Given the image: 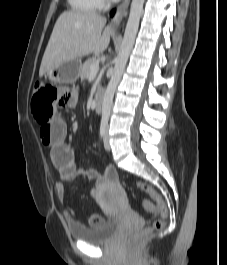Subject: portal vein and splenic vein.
Here are the masks:
<instances>
[{
	"instance_id": "1",
	"label": "portal vein and splenic vein",
	"mask_w": 227,
	"mask_h": 265,
	"mask_svg": "<svg viewBox=\"0 0 227 265\" xmlns=\"http://www.w3.org/2000/svg\"><path fill=\"white\" fill-rule=\"evenodd\" d=\"M99 71V63L92 65L90 68V76H95Z\"/></svg>"
}]
</instances>
